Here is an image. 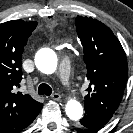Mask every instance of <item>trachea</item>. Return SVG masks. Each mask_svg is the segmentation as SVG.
<instances>
[{
	"mask_svg": "<svg viewBox=\"0 0 133 133\" xmlns=\"http://www.w3.org/2000/svg\"><path fill=\"white\" fill-rule=\"evenodd\" d=\"M38 94L39 95H51L52 94V88L45 84V83H42L40 84V86L38 87Z\"/></svg>",
	"mask_w": 133,
	"mask_h": 133,
	"instance_id": "1",
	"label": "trachea"
}]
</instances>
